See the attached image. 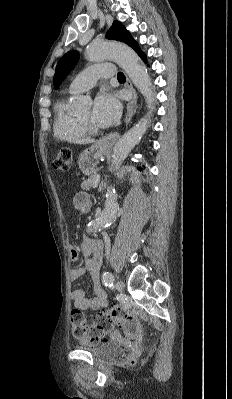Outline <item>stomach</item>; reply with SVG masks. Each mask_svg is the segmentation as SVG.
Segmentation results:
<instances>
[{"label": "stomach", "mask_w": 232, "mask_h": 399, "mask_svg": "<svg viewBox=\"0 0 232 399\" xmlns=\"http://www.w3.org/2000/svg\"><path fill=\"white\" fill-rule=\"evenodd\" d=\"M105 154H107V150H104L102 140L93 144L91 148L84 150L77 160L81 172H83L85 176H91L95 168H97L99 160L104 158Z\"/></svg>", "instance_id": "obj_1"}]
</instances>
